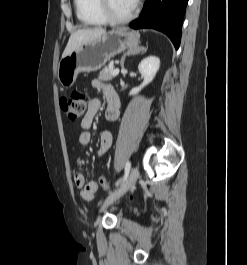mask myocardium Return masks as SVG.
<instances>
[{"instance_id":"1","label":"myocardium","mask_w":247,"mask_h":265,"mask_svg":"<svg viewBox=\"0 0 247 265\" xmlns=\"http://www.w3.org/2000/svg\"><path fill=\"white\" fill-rule=\"evenodd\" d=\"M98 1H99L98 6H99L100 12L105 17L107 22L112 23V24H126L132 21L138 13V8H139L138 2H135L132 11L128 15L118 16L112 11L110 4H109V0H98Z\"/></svg>"}]
</instances>
